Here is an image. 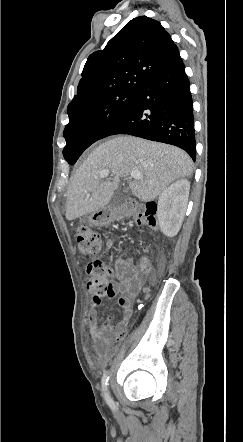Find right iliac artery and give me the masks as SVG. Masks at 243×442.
<instances>
[{
    "label": "right iliac artery",
    "instance_id": "obj_1",
    "mask_svg": "<svg viewBox=\"0 0 243 442\" xmlns=\"http://www.w3.org/2000/svg\"><path fill=\"white\" fill-rule=\"evenodd\" d=\"M108 380H109L108 372H105L102 377L103 396H104V399L107 402V404L110 406V408L115 409L116 405H115V403H114L113 399L111 398L109 391H108Z\"/></svg>",
    "mask_w": 243,
    "mask_h": 442
}]
</instances>
